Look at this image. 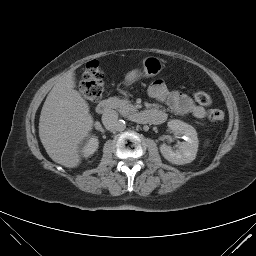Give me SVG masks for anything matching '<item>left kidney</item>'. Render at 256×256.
<instances>
[{
    "label": "left kidney",
    "mask_w": 256,
    "mask_h": 256,
    "mask_svg": "<svg viewBox=\"0 0 256 256\" xmlns=\"http://www.w3.org/2000/svg\"><path fill=\"white\" fill-rule=\"evenodd\" d=\"M168 127L185 137V142L179 145V150L174 151L166 144L160 145V152L163 157L169 162L177 165L191 163L198 151L197 132L191 125L180 120H171L168 122Z\"/></svg>",
    "instance_id": "1"
}]
</instances>
